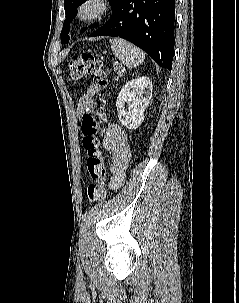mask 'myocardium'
<instances>
[{"label":"myocardium","instance_id":"1","mask_svg":"<svg viewBox=\"0 0 239 303\" xmlns=\"http://www.w3.org/2000/svg\"><path fill=\"white\" fill-rule=\"evenodd\" d=\"M111 0H83L76 11V17L84 23L99 20L111 13Z\"/></svg>","mask_w":239,"mask_h":303}]
</instances>
